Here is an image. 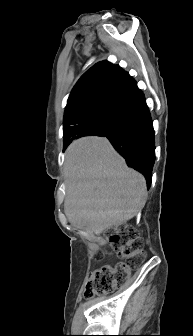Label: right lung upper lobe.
<instances>
[{
  "mask_svg": "<svg viewBox=\"0 0 193 336\" xmlns=\"http://www.w3.org/2000/svg\"><path fill=\"white\" fill-rule=\"evenodd\" d=\"M134 82L118 65L102 61L91 67L74 86L65 109L64 146L83 133H72L71 127L79 120L112 110L123 93Z\"/></svg>",
  "mask_w": 193,
  "mask_h": 336,
  "instance_id": "cb5924a9",
  "label": "right lung upper lobe"
}]
</instances>
